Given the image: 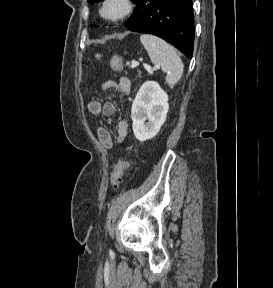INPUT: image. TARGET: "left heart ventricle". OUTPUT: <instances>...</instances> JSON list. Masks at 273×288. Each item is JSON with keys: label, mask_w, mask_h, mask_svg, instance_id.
<instances>
[{"label": "left heart ventricle", "mask_w": 273, "mask_h": 288, "mask_svg": "<svg viewBox=\"0 0 273 288\" xmlns=\"http://www.w3.org/2000/svg\"><path fill=\"white\" fill-rule=\"evenodd\" d=\"M119 10V5L118 4H110L107 8H106V14L108 15H114L118 12Z\"/></svg>", "instance_id": "left-heart-ventricle-1"}]
</instances>
